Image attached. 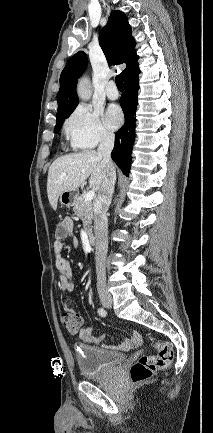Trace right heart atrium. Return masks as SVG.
<instances>
[{
	"label": "right heart atrium",
	"mask_w": 213,
	"mask_h": 433,
	"mask_svg": "<svg viewBox=\"0 0 213 433\" xmlns=\"http://www.w3.org/2000/svg\"><path fill=\"white\" fill-rule=\"evenodd\" d=\"M64 132L75 149H91L114 138L103 123L101 113L87 105H79L64 123Z\"/></svg>",
	"instance_id": "right-heart-atrium-1"
}]
</instances>
